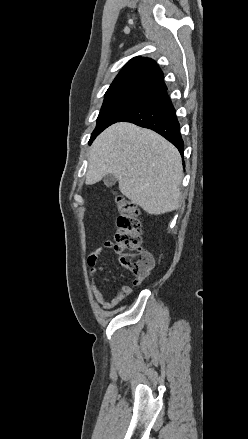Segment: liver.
<instances>
[{
  "label": "liver",
  "instance_id": "1",
  "mask_svg": "<svg viewBox=\"0 0 248 439\" xmlns=\"http://www.w3.org/2000/svg\"><path fill=\"white\" fill-rule=\"evenodd\" d=\"M119 180V190L151 215L180 207L182 160L176 147L159 134L131 123H116L93 142L86 184L107 174Z\"/></svg>",
  "mask_w": 248,
  "mask_h": 439
}]
</instances>
